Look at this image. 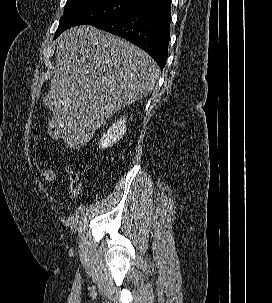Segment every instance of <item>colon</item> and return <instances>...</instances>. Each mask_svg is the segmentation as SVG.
I'll return each mask as SVG.
<instances>
[{
  "label": "colon",
  "mask_w": 272,
  "mask_h": 303,
  "mask_svg": "<svg viewBox=\"0 0 272 303\" xmlns=\"http://www.w3.org/2000/svg\"><path fill=\"white\" fill-rule=\"evenodd\" d=\"M48 135L52 139H57L60 136V131L58 127V122L56 119H50L48 123ZM40 175L43 180L51 182L56 179V171L53 167L43 166L40 169ZM69 180H70V196L72 198H77L81 191V183L79 176L72 170H69Z\"/></svg>",
  "instance_id": "5ec220e1"
}]
</instances>
